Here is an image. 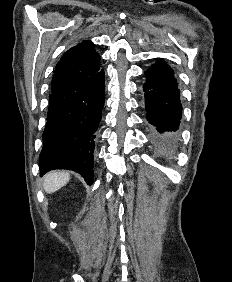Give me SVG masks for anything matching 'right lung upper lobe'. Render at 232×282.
I'll use <instances>...</instances> for the list:
<instances>
[{
    "label": "right lung upper lobe",
    "instance_id": "1",
    "mask_svg": "<svg viewBox=\"0 0 232 282\" xmlns=\"http://www.w3.org/2000/svg\"><path fill=\"white\" fill-rule=\"evenodd\" d=\"M100 59L89 40L70 48L56 65L49 97L100 71Z\"/></svg>",
    "mask_w": 232,
    "mask_h": 282
}]
</instances>
